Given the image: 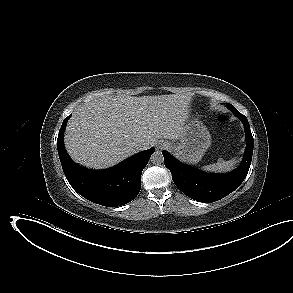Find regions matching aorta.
I'll list each match as a JSON object with an SVG mask.
<instances>
[{"mask_svg": "<svg viewBox=\"0 0 293 293\" xmlns=\"http://www.w3.org/2000/svg\"><path fill=\"white\" fill-rule=\"evenodd\" d=\"M163 161H164V157L161 152L156 151L151 155V162L154 165H160L161 163H163Z\"/></svg>", "mask_w": 293, "mask_h": 293, "instance_id": "obj_1", "label": "aorta"}]
</instances>
